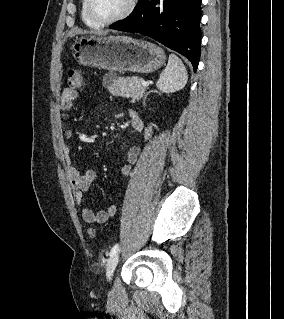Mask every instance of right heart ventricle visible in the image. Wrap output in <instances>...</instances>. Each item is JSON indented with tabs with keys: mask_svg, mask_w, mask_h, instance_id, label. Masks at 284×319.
Returning <instances> with one entry per match:
<instances>
[{
	"mask_svg": "<svg viewBox=\"0 0 284 319\" xmlns=\"http://www.w3.org/2000/svg\"><path fill=\"white\" fill-rule=\"evenodd\" d=\"M85 3H86V0H81V5H80V16H81V19L83 21V23L88 26L89 28H92V29H98L100 28L101 26L96 24L95 22H93L87 15L86 13V8H85Z\"/></svg>",
	"mask_w": 284,
	"mask_h": 319,
	"instance_id": "obj_1",
	"label": "right heart ventricle"
}]
</instances>
